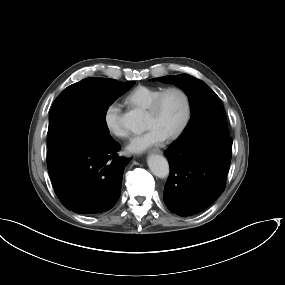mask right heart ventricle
I'll return each instance as SVG.
<instances>
[{"label": "right heart ventricle", "instance_id": "1", "mask_svg": "<svg viewBox=\"0 0 285 285\" xmlns=\"http://www.w3.org/2000/svg\"><path fill=\"white\" fill-rule=\"evenodd\" d=\"M161 90L160 87L138 85L124 97V102L132 107L147 109Z\"/></svg>", "mask_w": 285, "mask_h": 285}]
</instances>
